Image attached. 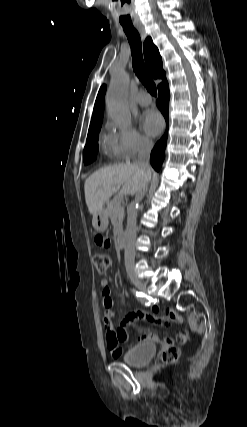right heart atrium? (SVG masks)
Returning <instances> with one entry per match:
<instances>
[{"instance_id":"d8ad5b80","label":"right heart atrium","mask_w":247,"mask_h":427,"mask_svg":"<svg viewBox=\"0 0 247 427\" xmlns=\"http://www.w3.org/2000/svg\"><path fill=\"white\" fill-rule=\"evenodd\" d=\"M106 130L110 153L117 159H132L152 147L151 140L134 127L108 123Z\"/></svg>"}]
</instances>
